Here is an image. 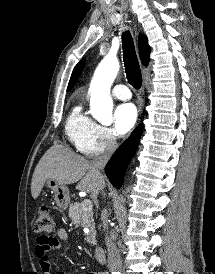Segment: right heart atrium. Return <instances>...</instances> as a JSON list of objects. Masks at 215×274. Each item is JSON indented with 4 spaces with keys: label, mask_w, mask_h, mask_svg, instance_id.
Here are the masks:
<instances>
[{
    "label": "right heart atrium",
    "mask_w": 215,
    "mask_h": 274,
    "mask_svg": "<svg viewBox=\"0 0 215 274\" xmlns=\"http://www.w3.org/2000/svg\"><path fill=\"white\" fill-rule=\"evenodd\" d=\"M117 146L115 133L109 127L95 124L81 152L87 156H97L112 151Z\"/></svg>",
    "instance_id": "d8ad5b80"
}]
</instances>
